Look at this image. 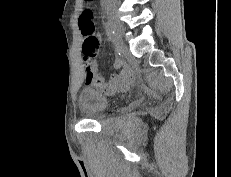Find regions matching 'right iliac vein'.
Returning <instances> with one entry per match:
<instances>
[{"label": "right iliac vein", "instance_id": "63e3f726", "mask_svg": "<svg viewBox=\"0 0 231 177\" xmlns=\"http://www.w3.org/2000/svg\"><path fill=\"white\" fill-rule=\"evenodd\" d=\"M107 18L109 23L111 24L114 32H115V38L117 41V45L119 47H122L123 45V34H124V28L122 23L118 20L116 12L112 8H108L106 12Z\"/></svg>", "mask_w": 231, "mask_h": 177}]
</instances>
